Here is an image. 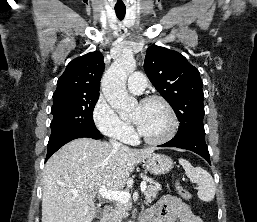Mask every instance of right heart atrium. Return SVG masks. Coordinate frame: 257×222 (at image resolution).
<instances>
[{
  "label": "right heart atrium",
  "instance_id": "right-heart-atrium-1",
  "mask_svg": "<svg viewBox=\"0 0 257 222\" xmlns=\"http://www.w3.org/2000/svg\"><path fill=\"white\" fill-rule=\"evenodd\" d=\"M102 109L106 110L107 112H109L110 115L116 118L117 125L112 129H107L98 122V113ZM93 120L97 128L108 137L122 142H129L133 138V128L131 127V125L117 117L115 111L110 107V105L107 103L106 99L103 96L99 97L93 109Z\"/></svg>",
  "mask_w": 257,
  "mask_h": 222
}]
</instances>
